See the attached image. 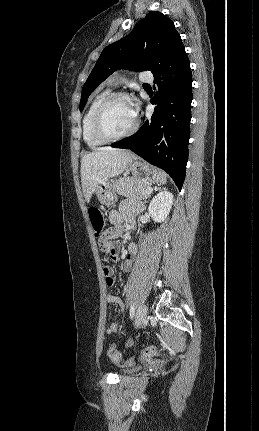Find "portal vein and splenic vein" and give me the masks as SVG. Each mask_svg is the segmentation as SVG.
<instances>
[{
    "mask_svg": "<svg viewBox=\"0 0 259 431\" xmlns=\"http://www.w3.org/2000/svg\"><path fill=\"white\" fill-rule=\"evenodd\" d=\"M152 192V188H148L145 193H151Z\"/></svg>",
    "mask_w": 259,
    "mask_h": 431,
    "instance_id": "18ae733b",
    "label": "portal vein and splenic vein"
}]
</instances>
